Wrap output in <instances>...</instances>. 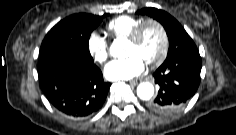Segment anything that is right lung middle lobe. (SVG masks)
Returning a JSON list of instances; mask_svg holds the SVG:
<instances>
[{"label":"right lung middle lobe","mask_w":236,"mask_h":135,"mask_svg":"<svg viewBox=\"0 0 236 135\" xmlns=\"http://www.w3.org/2000/svg\"><path fill=\"white\" fill-rule=\"evenodd\" d=\"M91 14H74L58 22L45 36L39 62L77 52L93 60L89 52V38L103 17Z\"/></svg>","instance_id":"right-lung-middle-lobe-1"}]
</instances>
